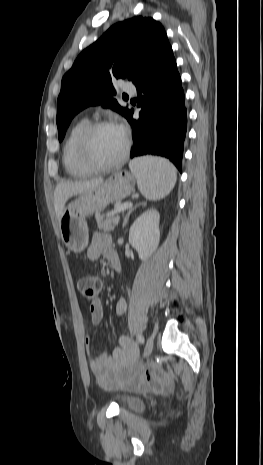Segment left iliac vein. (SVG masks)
<instances>
[{"label": "left iliac vein", "mask_w": 263, "mask_h": 465, "mask_svg": "<svg viewBox=\"0 0 263 465\" xmlns=\"http://www.w3.org/2000/svg\"><path fill=\"white\" fill-rule=\"evenodd\" d=\"M153 350V338L149 337L146 341L144 352H143V359L149 357Z\"/></svg>", "instance_id": "left-iliac-vein-1"}]
</instances>
